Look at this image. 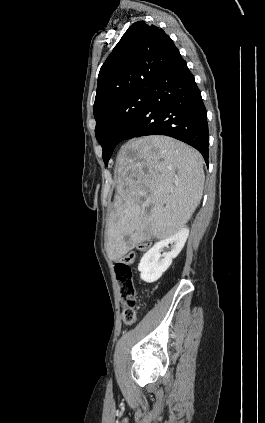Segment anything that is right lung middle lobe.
<instances>
[{
    "mask_svg": "<svg viewBox=\"0 0 265 423\" xmlns=\"http://www.w3.org/2000/svg\"><path fill=\"white\" fill-rule=\"evenodd\" d=\"M149 97L150 89L132 93L95 118V135L103 148V160L106 165L119 143L120 136L146 105Z\"/></svg>",
    "mask_w": 265,
    "mask_h": 423,
    "instance_id": "dd1d6c3e",
    "label": "right lung middle lobe"
}]
</instances>
